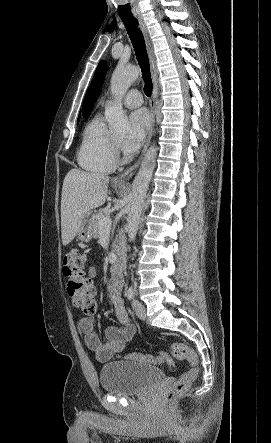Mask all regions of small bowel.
I'll list each match as a JSON object with an SVG mask.
<instances>
[{
	"instance_id": "obj_1",
	"label": "small bowel",
	"mask_w": 271,
	"mask_h": 443,
	"mask_svg": "<svg viewBox=\"0 0 271 443\" xmlns=\"http://www.w3.org/2000/svg\"><path fill=\"white\" fill-rule=\"evenodd\" d=\"M94 275L95 271L94 269H91L90 276ZM121 288L122 281L119 278H113L107 287L108 294L120 326L107 327L105 331V341H102L96 332L92 318L85 317L79 322V326L84 334L87 347L94 353L96 359L101 362L108 361L116 353L121 352L132 340L135 333V327L131 323L123 300L120 297Z\"/></svg>"
}]
</instances>
